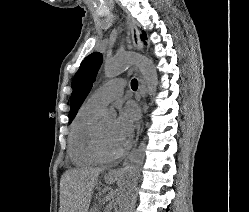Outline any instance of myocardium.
<instances>
[{
    "mask_svg": "<svg viewBox=\"0 0 249 212\" xmlns=\"http://www.w3.org/2000/svg\"><path fill=\"white\" fill-rule=\"evenodd\" d=\"M93 146L97 156L104 162H112L119 159L122 156V153H109L107 152L101 142L100 137V123L96 122L92 134Z\"/></svg>",
    "mask_w": 249,
    "mask_h": 212,
    "instance_id": "obj_1",
    "label": "myocardium"
}]
</instances>
